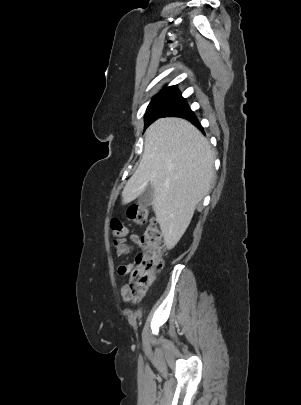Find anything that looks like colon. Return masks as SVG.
Here are the masks:
<instances>
[{
    "mask_svg": "<svg viewBox=\"0 0 301 405\" xmlns=\"http://www.w3.org/2000/svg\"><path fill=\"white\" fill-rule=\"evenodd\" d=\"M128 219L137 225L148 220V210L142 206H132L127 212ZM111 231L115 237H124L128 230L117 219L111 222ZM165 246L161 231L154 219L146 226L141 237V250L135 257V265L130 270L129 282L126 285L129 297L137 299L144 295L163 267Z\"/></svg>",
    "mask_w": 301,
    "mask_h": 405,
    "instance_id": "obj_1",
    "label": "colon"
}]
</instances>
